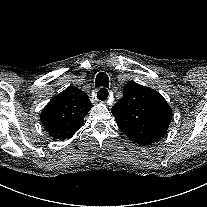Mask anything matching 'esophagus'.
<instances>
[{"instance_id": "1", "label": "esophagus", "mask_w": 207, "mask_h": 207, "mask_svg": "<svg viewBox=\"0 0 207 207\" xmlns=\"http://www.w3.org/2000/svg\"><path fill=\"white\" fill-rule=\"evenodd\" d=\"M93 97L95 98L96 101L100 100L102 102H105V101H107L109 99L110 93H109V91L107 89L102 88L99 91L95 90L94 94H93Z\"/></svg>"}]
</instances>
